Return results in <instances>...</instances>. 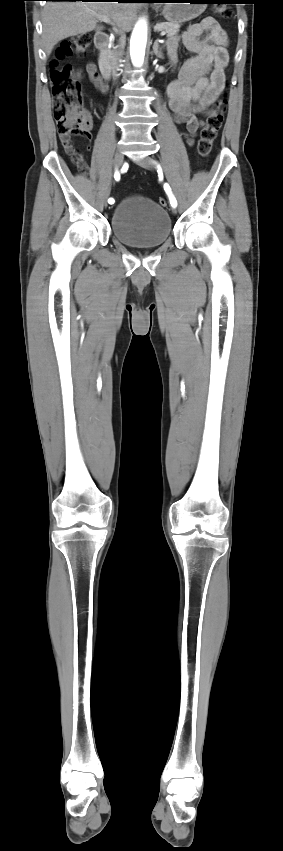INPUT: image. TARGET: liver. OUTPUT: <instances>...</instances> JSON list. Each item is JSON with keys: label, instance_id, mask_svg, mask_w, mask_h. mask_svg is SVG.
I'll return each mask as SVG.
<instances>
[{"label": "liver", "instance_id": "obj_1", "mask_svg": "<svg viewBox=\"0 0 283 851\" xmlns=\"http://www.w3.org/2000/svg\"><path fill=\"white\" fill-rule=\"evenodd\" d=\"M140 7L132 2L50 1L42 12L45 52L49 56L54 46L68 37L102 30L95 14L109 16L116 31L128 32Z\"/></svg>", "mask_w": 283, "mask_h": 851}]
</instances>
